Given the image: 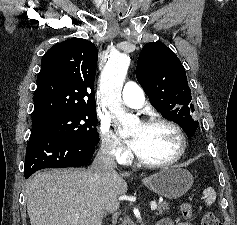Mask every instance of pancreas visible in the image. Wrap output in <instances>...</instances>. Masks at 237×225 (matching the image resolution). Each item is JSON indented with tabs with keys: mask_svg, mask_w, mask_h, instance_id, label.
I'll list each match as a JSON object with an SVG mask.
<instances>
[{
	"mask_svg": "<svg viewBox=\"0 0 237 225\" xmlns=\"http://www.w3.org/2000/svg\"><path fill=\"white\" fill-rule=\"evenodd\" d=\"M170 204L167 202H161L158 205V214L163 215L164 213H169ZM121 225H132L129 220H124Z\"/></svg>",
	"mask_w": 237,
	"mask_h": 225,
	"instance_id": "obj_1",
	"label": "pancreas"
}]
</instances>
